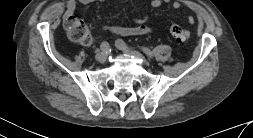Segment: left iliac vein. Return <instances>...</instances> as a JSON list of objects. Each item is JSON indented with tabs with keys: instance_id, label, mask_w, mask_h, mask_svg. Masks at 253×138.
<instances>
[{
	"instance_id": "obj_1",
	"label": "left iliac vein",
	"mask_w": 253,
	"mask_h": 138,
	"mask_svg": "<svg viewBox=\"0 0 253 138\" xmlns=\"http://www.w3.org/2000/svg\"><path fill=\"white\" fill-rule=\"evenodd\" d=\"M126 54L135 56L136 58L140 59L143 62H146V59L143 57L141 53L133 49H122Z\"/></svg>"
}]
</instances>
